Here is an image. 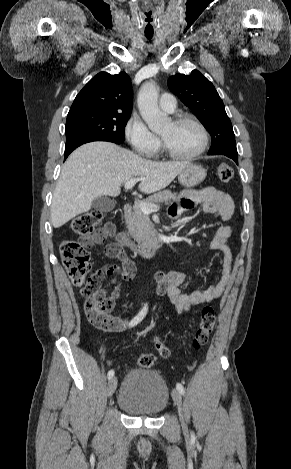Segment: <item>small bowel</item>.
<instances>
[{
	"label": "small bowel",
	"mask_w": 291,
	"mask_h": 469,
	"mask_svg": "<svg viewBox=\"0 0 291 469\" xmlns=\"http://www.w3.org/2000/svg\"><path fill=\"white\" fill-rule=\"evenodd\" d=\"M194 205H200L203 211L208 214H218L222 221V224L217 228L209 242V248L222 252L223 271L217 282L206 289L197 290L191 294H186L182 291L186 277L184 272L178 270L157 272L155 275L157 293L166 295L179 313L188 312L195 307L217 299L223 293L231 278L232 252L228 245V239L232 232L229 225L234 212L232 199L229 195L214 187L185 191L180 201L170 207L169 214L174 219L179 218L184 211L192 208ZM114 235H116L119 243L123 244L122 233L116 234L115 226L111 223L106 224L99 230L92 245H103L107 238ZM106 247L107 245L104 246L106 255L119 258L122 262L124 259H127L122 249L121 255L113 256L106 252ZM118 293V288H116L112 291L111 297L115 300L118 297ZM112 320L113 326L108 330L112 332H122L130 323H128V320L120 317H112Z\"/></svg>",
	"instance_id": "small-bowel-1"
}]
</instances>
